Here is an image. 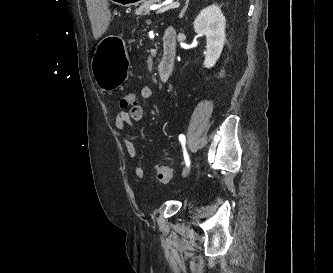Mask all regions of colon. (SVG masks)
I'll list each match as a JSON object with an SVG mask.
<instances>
[{
    "mask_svg": "<svg viewBox=\"0 0 333 273\" xmlns=\"http://www.w3.org/2000/svg\"><path fill=\"white\" fill-rule=\"evenodd\" d=\"M137 103V95L134 92H126L123 94L120 100V105L122 108H131L136 106ZM171 169L167 165L160 166L155 172V180L158 183H168L171 179Z\"/></svg>",
    "mask_w": 333,
    "mask_h": 273,
    "instance_id": "1",
    "label": "colon"
}]
</instances>
